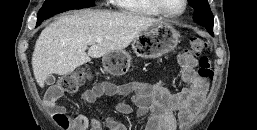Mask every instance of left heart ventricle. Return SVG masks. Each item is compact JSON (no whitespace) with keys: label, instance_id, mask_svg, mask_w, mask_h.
I'll return each mask as SVG.
<instances>
[{"label":"left heart ventricle","instance_id":"b2bd125f","mask_svg":"<svg viewBox=\"0 0 257 130\" xmlns=\"http://www.w3.org/2000/svg\"><path fill=\"white\" fill-rule=\"evenodd\" d=\"M163 7L172 13H177L183 8V0H160Z\"/></svg>","mask_w":257,"mask_h":130}]
</instances>
